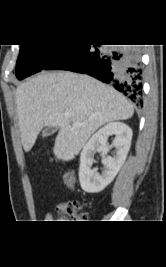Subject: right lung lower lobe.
<instances>
[{
	"instance_id": "98d812e1",
	"label": "right lung lower lobe",
	"mask_w": 166,
	"mask_h": 267,
	"mask_svg": "<svg viewBox=\"0 0 166 267\" xmlns=\"http://www.w3.org/2000/svg\"><path fill=\"white\" fill-rule=\"evenodd\" d=\"M42 70H69L92 76L142 103V68L136 48L66 45Z\"/></svg>"
}]
</instances>
